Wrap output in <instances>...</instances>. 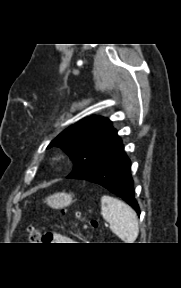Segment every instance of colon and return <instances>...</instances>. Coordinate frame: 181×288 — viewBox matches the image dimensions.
<instances>
[{
  "label": "colon",
  "instance_id": "1",
  "mask_svg": "<svg viewBox=\"0 0 181 288\" xmlns=\"http://www.w3.org/2000/svg\"><path fill=\"white\" fill-rule=\"evenodd\" d=\"M74 219L77 221V224L85 222L84 217L80 212L74 213ZM87 224L91 228H97L98 222L96 220H89ZM28 239L31 244L41 243V242H51V233H43L42 230L37 226L28 227Z\"/></svg>",
  "mask_w": 181,
  "mask_h": 288
}]
</instances>
